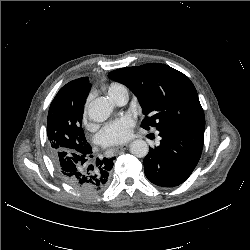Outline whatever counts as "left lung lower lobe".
Masks as SVG:
<instances>
[{
	"instance_id": "obj_1",
	"label": "left lung lower lobe",
	"mask_w": 250,
	"mask_h": 250,
	"mask_svg": "<svg viewBox=\"0 0 250 250\" xmlns=\"http://www.w3.org/2000/svg\"><path fill=\"white\" fill-rule=\"evenodd\" d=\"M160 145L150 148L144 159L148 180L161 187H175L185 182L196 167L203 148L204 129L159 131Z\"/></svg>"
}]
</instances>
